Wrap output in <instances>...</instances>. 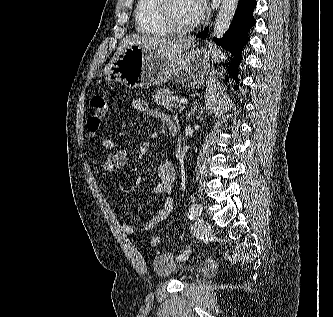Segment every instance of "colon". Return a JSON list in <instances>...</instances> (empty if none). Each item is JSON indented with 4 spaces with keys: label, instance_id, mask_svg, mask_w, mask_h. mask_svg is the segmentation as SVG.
Listing matches in <instances>:
<instances>
[{
    "label": "colon",
    "instance_id": "colon-1",
    "mask_svg": "<svg viewBox=\"0 0 333 317\" xmlns=\"http://www.w3.org/2000/svg\"><path fill=\"white\" fill-rule=\"evenodd\" d=\"M108 111L107 100L102 96H94L90 100L87 127L91 135L98 132ZM159 236L153 235L150 239L152 246L159 244Z\"/></svg>",
    "mask_w": 333,
    "mask_h": 317
}]
</instances>
